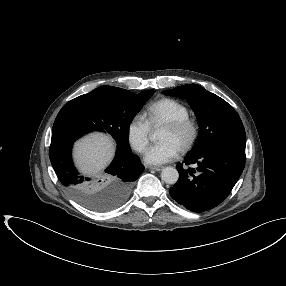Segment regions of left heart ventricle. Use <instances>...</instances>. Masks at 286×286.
Wrapping results in <instances>:
<instances>
[{"mask_svg":"<svg viewBox=\"0 0 286 286\" xmlns=\"http://www.w3.org/2000/svg\"><path fill=\"white\" fill-rule=\"evenodd\" d=\"M186 137H187L186 130L178 131V130L171 129L166 126L162 128V131L160 134V140H172L179 147L182 145Z\"/></svg>","mask_w":286,"mask_h":286,"instance_id":"obj_1","label":"left heart ventricle"}]
</instances>
